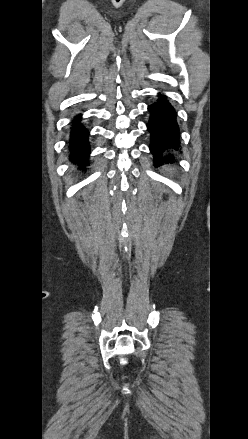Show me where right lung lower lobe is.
<instances>
[{
  "label": "right lung lower lobe",
  "mask_w": 248,
  "mask_h": 439,
  "mask_svg": "<svg viewBox=\"0 0 248 439\" xmlns=\"http://www.w3.org/2000/svg\"><path fill=\"white\" fill-rule=\"evenodd\" d=\"M70 131L69 149L71 161L85 169L88 164L90 146L88 142L89 131L81 123V115L74 117Z\"/></svg>",
  "instance_id": "obj_1"
}]
</instances>
